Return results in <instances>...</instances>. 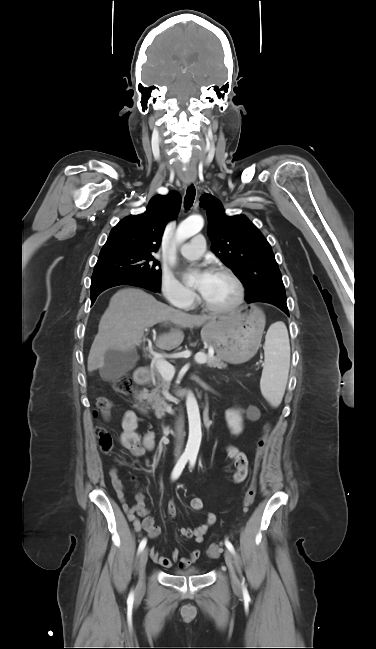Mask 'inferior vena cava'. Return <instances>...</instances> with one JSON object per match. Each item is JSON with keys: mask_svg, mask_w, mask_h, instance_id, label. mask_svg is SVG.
Here are the masks:
<instances>
[{"mask_svg": "<svg viewBox=\"0 0 376 649\" xmlns=\"http://www.w3.org/2000/svg\"><path fill=\"white\" fill-rule=\"evenodd\" d=\"M178 435H179V443L176 445V448H175V454L176 455H180L181 450H182V442H183V436H184V434H183V425H180L178 427Z\"/></svg>", "mask_w": 376, "mask_h": 649, "instance_id": "602c4592", "label": "inferior vena cava"}]
</instances>
